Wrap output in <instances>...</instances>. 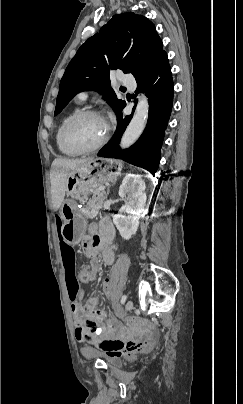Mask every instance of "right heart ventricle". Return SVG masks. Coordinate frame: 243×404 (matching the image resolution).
<instances>
[{"label":"right heart ventricle","instance_id":"1","mask_svg":"<svg viewBox=\"0 0 243 404\" xmlns=\"http://www.w3.org/2000/svg\"><path fill=\"white\" fill-rule=\"evenodd\" d=\"M78 110V107L75 106L73 107L71 110H69L68 112H66L62 118L60 119L59 124L57 125L55 132H54V141H55V145L58 149V151L64 155V156H70V157H76V156H80L82 154V152L71 148L69 146H67L61 139V127L63 125V123L65 122V120L75 111Z\"/></svg>","mask_w":243,"mask_h":404}]
</instances>
